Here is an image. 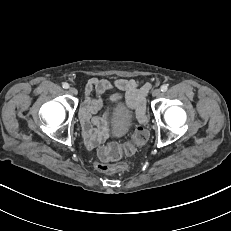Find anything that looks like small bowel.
I'll use <instances>...</instances> for the list:
<instances>
[{
  "label": "small bowel",
  "mask_w": 231,
  "mask_h": 231,
  "mask_svg": "<svg viewBox=\"0 0 231 231\" xmlns=\"http://www.w3.org/2000/svg\"><path fill=\"white\" fill-rule=\"evenodd\" d=\"M149 89V84L133 79L108 81L91 78L86 85V97L79 112L86 146L90 149L95 148L109 136L107 119L95 116L103 105L102 94L105 91H112V104L121 99L120 92H122L126 106L135 112L139 120H143L145 118V98Z\"/></svg>",
  "instance_id": "c3829d8e"
}]
</instances>
